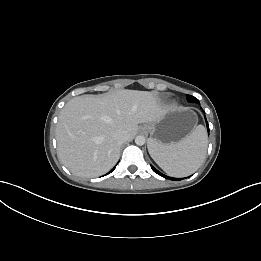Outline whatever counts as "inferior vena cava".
<instances>
[{
	"instance_id": "1",
	"label": "inferior vena cava",
	"mask_w": 261,
	"mask_h": 261,
	"mask_svg": "<svg viewBox=\"0 0 261 261\" xmlns=\"http://www.w3.org/2000/svg\"><path fill=\"white\" fill-rule=\"evenodd\" d=\"M114 138H115L118 142L123 143V142H125V140H126V134H125L124 131L118 130V131H116V132L114 133Z\"/></svg>"
}]
</instances>
